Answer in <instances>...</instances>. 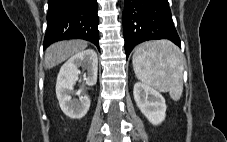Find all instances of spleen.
<instances>
[{"mask_svg": "<svg viewBox=\"0 0 227 142\" xmlns=\"http://www.w3.org/2000/svg\"><path fill=\"white\" fill-rule=\"evenodd\" d=\"M132 63L139 80L161 92H169L173 100L180 99L184 67L177 46L167 40L145 42L135 48Z\"/></svg>", "mask_w": 227, "mask_h": 142, "instance_id": "obj_1", "label": "spleen"}]
</instances>
